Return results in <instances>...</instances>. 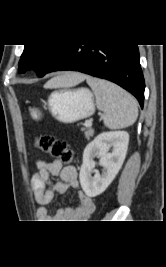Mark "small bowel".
I'll return each mask as SVG.
<instances>
[{
	"mask_svg": "<svg viewBox=\"0 0 166 267\" xmlns=\"http://www.w3.org/2000/svg\"><path fill=\"white\" fill-rule=\"evenodd\" d=\"M60 176L54 183L51 177ZM31 184L38 203L37 218L47 222H79L86 220L94 209L91 197L80 189L76 168L63 167L59 160L53 162L38 161L37 172L32 176ZM69 189L77 190L78 204L74 208L59 209L51 213L47 205L56 194H64Z\"/></svg>",
	"mask_w": 166,
	"mask_h": 267,
	"instance_id": "c3829d8e",
	"label": "small bowel"
}]
</instances>
